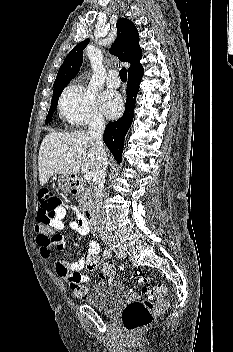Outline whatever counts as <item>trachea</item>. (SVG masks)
I'll return each instance as SVG.
<instances>
[{
  "label": "trachea",
  "mask_w": 233,
  "mask_h": 352,
  "mask_svg": "<svg viewBox=\"0 0 233 352\" xmlns=\"http://www.w3.org/2000/svg\"><path fill=\"white\" fill-rule=\"evenodd\" d=\"M119 76H120V79L122 81H126L127 80V71H126V68H122L120 71H119Z\"/></svg>",
  "instance_id": "trachea-1"
}]
</instances>
